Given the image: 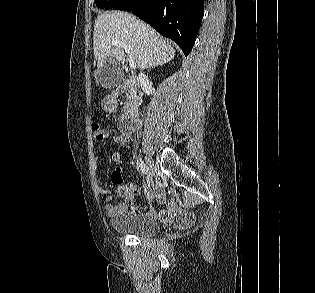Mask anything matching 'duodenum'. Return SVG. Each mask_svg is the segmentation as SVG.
I'll list each match as a JSON object with an SVG mask.
<instances>
[{
  "label": "duodenum",
  "instance_id": "obj_1",
  "mask_svg": "<svg viewBox=\"0 0 315 293\" xmlns=\"http://www.w3.org/2000/svg\"><path fill=\"white\" fill-rule=\"evenodd\" d=\"M127 85H128V82H126L124 86L120 88V91L125 89ZM139 119H140L139 110L137 107H133L121 117L120 122H119L120 131L125 134H130L131 132L135 130L139 122Z\"/></svg>",
  "mask_w": 315,
  "mask_h": 293
}]
</instances>
